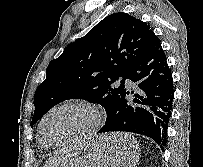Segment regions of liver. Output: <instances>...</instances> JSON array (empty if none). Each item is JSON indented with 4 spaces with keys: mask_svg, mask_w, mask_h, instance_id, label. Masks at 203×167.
Segmentation results:
<instances>
[{
    "mask_svg": "<svg viewBox=\"0 0 203 167\" xmlns=\"http://www.w3.org/2000/svg\"><path fill=\"white\" fill-rule=\"evenodd\" d=\"M132 138L128 134H113V135H106L102 136L99 141L94 144V147H101L104 143H111V144H119L122 146H127L132 142ZM76 160L75 154H71L68 152L57 154L51 157L44 167H69L70 164Z\"/></svg>",
    "mask_w": 203,
    "mask_h": 167,
    "instance_id": "6515ba94",
    "label": "liver"
}]
</instances>
